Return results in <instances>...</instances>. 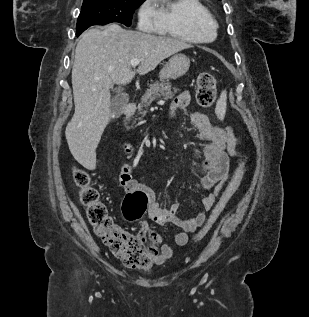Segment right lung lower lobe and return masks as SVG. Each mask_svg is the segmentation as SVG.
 I'll return each mask as SVG.
<instances>
[{
	"mask_svg": "<svg viewBox=\"0 0 309 317\" xmlns=\"http://www.w3.org/2000/svg\"><path fill=\"white\" fill-rule=\"evenodd\" d=\"M86 30V29H85ZM84 30L77 31L76 36H79Z\"/></svg>",
	"mask_w": 309,
	"mask_h": 317,
	"instance_id": "1",
	"label": "right lung lower lobe"
}]
</instances>
